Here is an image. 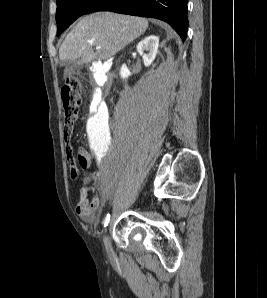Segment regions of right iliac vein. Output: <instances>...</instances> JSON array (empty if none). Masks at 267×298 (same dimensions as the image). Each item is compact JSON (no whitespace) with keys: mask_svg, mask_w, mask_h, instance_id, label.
Wrapping results in <instances>:
<instances>
[{"mask_svg":"<svg viewBox=\"0 0 267 298\" xmlns=\"http://www.w3.org/2000/svg\"><path fill=\"white\" fill-rule=\"evenodd\" d=\"M103 242H104V246H105V249L107 251V254L110 257H112L113 256V249H112V246H111L110 238H109L107 233H105L104 236H103Z\"/></svg>","mask_w":267,"mask_h":298,"instance_id":"obj_1","label":"right iliac vein"}]
</instances>
